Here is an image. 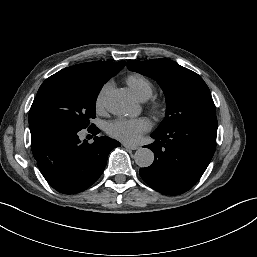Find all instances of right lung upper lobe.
Segmentation results:
<instances>
[{"label":"right lung upper lobe","mask_w":257,"mask_h":257,"mask_svg":"<svg viewBox=\"0 0 257 257\" xmlns=\"http://www.w3.org/2000/svg\"><path fill=\"white\" fill-rule=\"evenodd\" d=\"M125 61L113 62H87L77 64L67 69L80 73L94 81L107 82L115 76L123 67Z\"/></svg>","instance_id":"1"}]
</instances>
